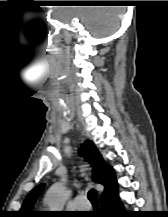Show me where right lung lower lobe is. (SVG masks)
<instances>
[{
	"label": "right lung lower lobe",
	"mask_w": 168,
	"mask_h": 217,
	"mask_svg": "<svg viewBox=\"0 0 168 217\" xmlns=\"http://www.w3.org/2000/svg\"><path fill=\"white\" fill-rule=\"evenodd\" d=\"M102 211L100 217H131L132 214L124 210L117 191L101 200Z\"/></svg>",
	"instance_id": "98d812e1"
}]
</instances>
